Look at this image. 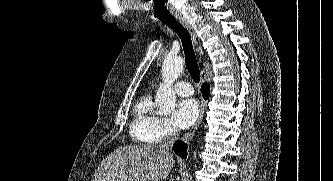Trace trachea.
I'll return each instance as SVG.
<instances>
[{
  "label": "trachea",
  "instance_id": "3493384b",
  "mask_svg": "<svg viewBox=\"0 0 333 181\" xmlns=\"http://www.w3.org/2000/svg\"><path fill=\"white\" fill-rule=\"evenodd\" d=\"M164 24L172 28L180 37L185 54L186 67L192 79L196 83L199 82L200 70L197 64L196 55L193 49L192 40L188 30L176 20L164 21Z\"/></svg>",
  "mask_w": 333,
  "mask_h": 181
}]
</instances>
